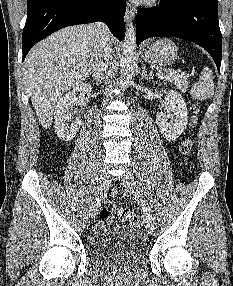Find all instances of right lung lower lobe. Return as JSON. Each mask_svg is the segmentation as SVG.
<instances>
[{
    "label": "right lung lower lobe",
    "instance_id": "obj_1",
    "mask_svg": "<svg viewBox=\"0 0 233 286\" xmlns=\"http://www.w3.org/2000/svg\"><path fill=\"white\" fill-rule=\"evenodd\" d=\"M125 11L124 0H27L23 60L37 42L71 25L102 21L115 37L122 40Z\"/></svg>",
    "mask_w": 233,
    "mask_h": 286
}]
</instances>
